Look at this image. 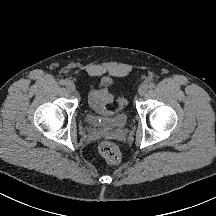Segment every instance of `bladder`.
I'll return each instance as SVG.
<instances>
[{
    "label": "bladder",
    "mask_w": 216,
    "mask_h": 216,
    "mask_svg": "<svg viewBox=\"0 0 216 216\" xmlns=\"http://www.w3.org/2000/svg\"><path fill=\"white\" fill-rule=\"evenodd\" d=\"M85 117L89 123L96 125V126L102 125L109 129H121L125 127L128 121V113L125 109L118 111L111 118L106 119L102 122H99V118L89 112L85 114Z\"/></svg>",
    "instance_id": "obj_1"
}]
</instances>
